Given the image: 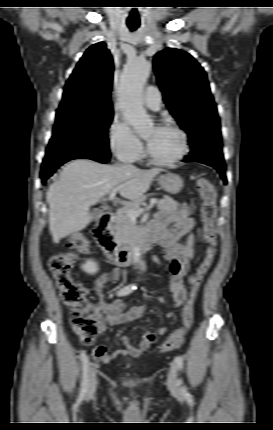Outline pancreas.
Here are the masks:
<instances>
[{
  "label": "pancreas",
  "instance_id": "1",
  "mask_svg": "<svg viewBox=\"0 0 273 430\" xmlns=\"http://www.w3.org/2000/svg\"><path fill=\"white\" fill-rule=\"evenodd\" d=\"M146 197L147 195H142L138 200L125 204L124 207L115 214L112 229L114 230V236L118 243H126L134 235L137 227L128 216L127 210L139 209V205ZM157 206L160 210L174 211L178 208L179 203L169 196H164V198L158 202Z\"/></svg>",
  "mask_w": 273,
  "mask_h": 430
}]
</instances>
